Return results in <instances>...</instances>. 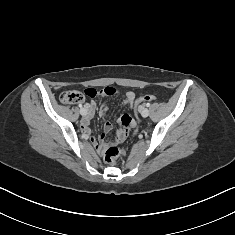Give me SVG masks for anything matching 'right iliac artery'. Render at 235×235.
I'll return each instance as SVG.
<instances>
[{"label": "right iliac artery", "instance_id": "right-iliac-artery-1", "mask_svg": "<svg viewBox=\"0 0 235 235\" xmlns=\"http://www.w3.org/2000/svg\"><path fill=\"white\" fill-rule=\"evenodd\" d=\"M79 107L82 109V105L80 104Z\"/></svg>", "mask_w": 235, "mask_h": 235}]
</instances>
